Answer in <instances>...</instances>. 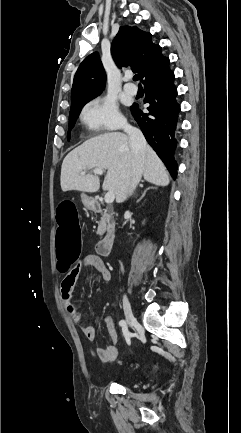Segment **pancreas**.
Here are the masks:
<instances>
[{
	"mask_svg": "<svg viewBox=\"0 0 241 433\" xmlns=\"http://www.w3.org/2000/svg\"><path fill=\"white\" fill-rule=\"evenodd\" d=\"M111 227L110 225V215L107 213L106 210H104L102 216H101V220L98 223V229H97V234L99 236H102L106 230H109Z\"/></svg>",
	"mask_w": 241,
	"mask_h": 433,
	"instance_id": "cf45deb5",
	"label": "pancreas"
}]
</instances>
